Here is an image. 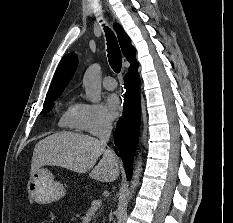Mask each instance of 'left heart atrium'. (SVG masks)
Here are the masks:
<instances>
[{
	"label": "left heart atrium",
	"mask_w": 233,
	"mask_h": 223,
	"mask_svg": "<svg viewBox=\"0 0 233 223\" xmlns=\"http://www.w3.org/2000/svg\"><path fill=\"white\" fill-rule=\"evenodd\" d=\"M106 111L108 114V117L111 120H114L119 117L121 113V104L117 96L112 95L108 101L106 106Z\"/></svg>",
	"instance_id": "obj_1"
}]
</instances>
